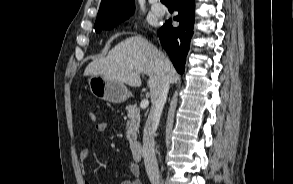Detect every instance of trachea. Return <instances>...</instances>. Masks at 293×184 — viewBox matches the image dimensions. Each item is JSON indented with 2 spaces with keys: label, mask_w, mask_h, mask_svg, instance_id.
Masks as SVG:
<instances>
[{
  "label": "trachea",
  "mask_w": 293,
  "mask_h": 184,
  "mask_svg": "<svg viewBox=\"0 0 293 184\" xmlns=\"http://www.w3.org/2000/svg\"><path fill=\"white\" fill-rule=\"evenodd\" d=\"M162 3L166 4V3H171V0H160Z\"/></svg>",
  "instance_id": "1"
}]
</instances>
